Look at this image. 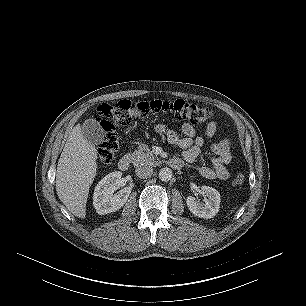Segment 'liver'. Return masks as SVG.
Wrapping results in <instances>:
<instances>
[{
    "instance_id": "6515ba94",
    "label": "liver",
    "mask_w": 306,
    "mask_h": 306,
    "mask_svg": "<svg viewBox=\"0 0 306 306\" xmlns=\"http://www.w3.org/2000/svg\"><path fill=\"white\" fill-rule=\"evenodd\" d=\"M98 152L85 139L80 124L69 134L57 165L56 192L76 217L85 218L89 189L97 171Z\"/></svg>"
}]
</instances>
